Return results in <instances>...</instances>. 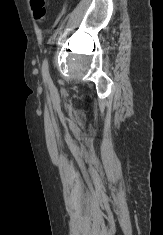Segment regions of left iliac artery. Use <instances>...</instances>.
Segmentation results:
<instances>
[{
    "label": "left iliac artery",
    "mask_w": 163,
    "mask_h": 235,
    "mask_svg": "<svg viewBox=\"0 0 163 235\" xmlns=\"http://www.w3.org/2000/svg\"><path fill=\"white\" fill-rule=\"evenodd\" d=\"M42 76L45 80L51 82L50 73H49V62L47 58L44 59L42 64Z\"/></svg>",
    "instance_id": "obj_1"
}]
</instances>
